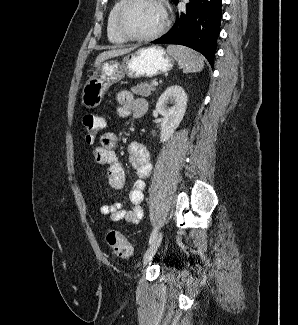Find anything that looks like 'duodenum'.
<instances>
[{
	"mask_svg": "<svg viewBox=\"0 0 298 325\" xmlns=\"http://www.w3.org/2000/svg\"><path fill=\"white\" fill-rule=\"evenodd\" d=\"M147 109H148V107H147L146 103L137 104V106L135 108V111H134L135 116L138 117V118L143 117L146 114Z\"/></svg>",
	"mask_w": 298,
	"mask_h": 325,
	"instance_id": "duodenum-1",
	"label": "duodenum"
}]
</instances>
